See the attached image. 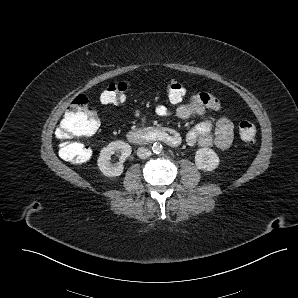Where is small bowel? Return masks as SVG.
<instances>
[{
  "label": "small bowel",
  "instance_id": "small-bowel-1",
  "mask_svg": "<svg viewBox=\"0 0 298 298\" xmlns=\"http://www.w3.org/2000/svg\"><path fill=\"white\" fill-rule=\"evenodd\" d=\"M220 111L221 104L212 95L200 92L193 95L187 102L180 103L176 108L170 109L165 105H157L155 114L161 117L174 116L179 119H187L193 115H202L206 111ZM135 117L145 122L146 117L142 111L137 110ZM233 124L226 116H221L216 121L206 119L195 125L186 135L189 145L198 144L202 147L216 146L219 149H227L233 141Z\"/></svg>",
  "mask_w": 298,
  "mask_h": 298
}]
</instances>
